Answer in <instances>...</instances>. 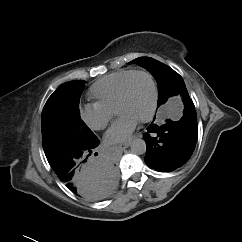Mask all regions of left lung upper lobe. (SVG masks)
Listing matches in <instances>:
<instances>
[{
  "label": "left lung upper lobe",
  "mask_w": 242,
  "mask_h": 242,
  "mask_svg": "<svg viewBox=\"0 0 242 242\" xmlns=\"http://www.w3.org/2000/svg\"><path fill=\"white\" fill-rule=\"evenodd\" d=\"M129 63L141 65L148 69L156 78L159 92L158 107L173 95H188L182 77L169 66L149 57H140Z\"/></svg>",
  "instance_id": "left-lung-upper-lobe-1"
}]
</instances>
